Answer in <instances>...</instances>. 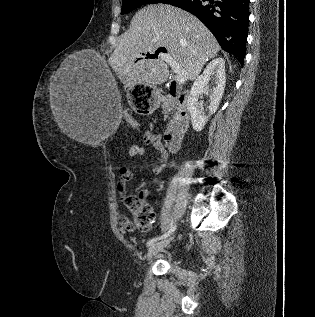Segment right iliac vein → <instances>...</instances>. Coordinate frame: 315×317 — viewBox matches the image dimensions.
<instances>
[{
	"mask_svg": "<svg viewBox=\"0 0 315 317\" xmlns=\"http://www.w3.org/2000/svg\"><path fill=\"white\" fill-rule=\"evenodd\" d=\"M172 238L162 240L160 242H157L153 244L147 251V260H150L154 255H156L158 252L162 251L171 241Z\"/></svg>",
	"mask_w": 315,
	"mask_h": 317,
	"instance_id": "right-iliac-vein-1",
	"label": "right iliac vein"
}]
</instances>
